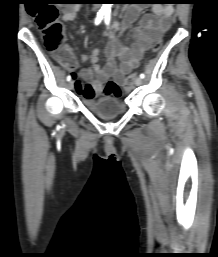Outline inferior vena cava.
I'll use <instances>...</instances> for the list:
<instances>
[{
    "mask_svg": "<svg viewBox=\"0 0 218 257\" xmlns=\"http://www.w3.org/2000/svg\"><path fill=\"white\" fill-rule=\"evenodd\" d=\"M98 4L95 5V8H97Z\"/></svg>",
    "mask_w": 218,
    "mask_h": 257,
    "instance_id": "602c4592",
    "label": "inferior vena cava"
}]
</instances>
